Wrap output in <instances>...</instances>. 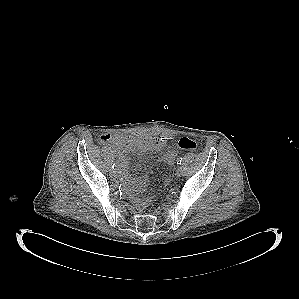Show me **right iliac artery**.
Returning a JSON list of instances; mask_svg holds the SVG:
<instances>
[{
	"label": "right iliac artery",
	"mask_w": 299,
	"mask_h": 299,
	"mask_svg": "<svg viewBox=\"0 0 299 299\" xmlns=\"http://www.w3.org/2000/svg\"><path fill=\"white\" fill-rule=\"evenodd\" d=\"M114 167H115V164L112 165V168H113V169H114Z\"/></svg>",
	"instance_id": "obj_1"
}]
</instances>
